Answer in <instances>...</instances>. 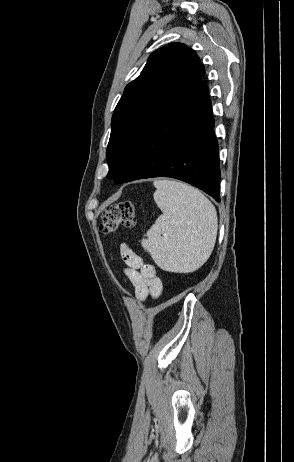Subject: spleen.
<instances>
[{
  "mask_svg": "<svg viewBox=\"0 0 294 462\" xmlns=\"http://www.w3.org/2000/svg\"><path fill=\"white\" fill-rule=\"evenodd\" d=\"M154 186V200L163 214L141 244L163 270L193 272L207 261L215 246V207L199 190L184 183L163 179L154 181Z\"/></svg>",
  "mask_w": 294,
  "mask_h": 462,
  "instance_id": "obj_1",
  "label": "spleen"
}]
</instances>
